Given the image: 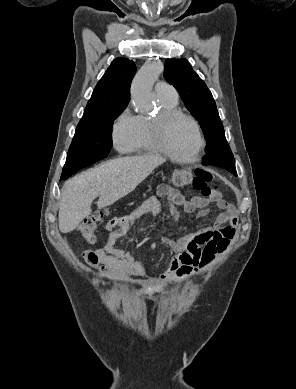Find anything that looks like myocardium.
<instances>
[{"label": "myocardium", "mask_w": 296, "mask_h": 389, "mask_svg": "<svg viewBox=\"0 0 296 389\" xmlns=\"http://www.w3.org/2000/svg\"><path fill=\"white\" fill-rule=\"evenodd\" d=\"M179 118H183L191 122L198 137V145L194 154L187 158L175 155L168 148L166 143V132L168 126L171 122ZM150 130L151 137L157 151L179 163L190 164L198 161L205 148L206 141L199 122L193 116L178 109H162L156 116L151 119Z\"/></svg>", "instance_id": "f54148a6"}]
</instances>
